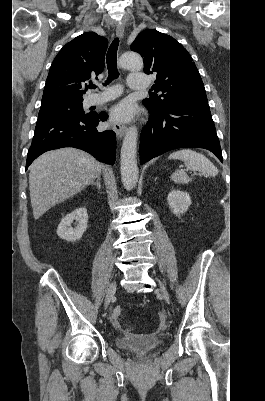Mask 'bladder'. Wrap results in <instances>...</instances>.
Segmentation results:
<instances>
[{
	"label": "bladder",
	"instance_id": "1",
	"mask_svg": "<svg viewBox=\"0 0 265 401\" xmlns=\"http://www.w3.org/2000/svg\"><path fill=\"white\" fill-rule=\"evenodd\" d=\"M116 343L128 352L143 356L147 355L151 350L160 347L162 345V338L148 335L129 336L116 339Z\"/></svg>",
	"mask_w": 265,
	"mask_h": 401
}]
</instances>
